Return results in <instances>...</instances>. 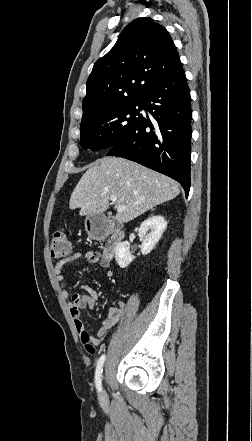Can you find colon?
<instances>
[{"label":"colon","instance_id":"5ec220e1","mask_svg":"<svg viewBox=\"0 0 252 441\" xmlns=\"http://www.w3.org/2000/svg\"><path fill=\"white\" fill-rule=\"evenodd\" d=\"M71 245L66 236L58 231L54 234L50 244V254L53 259H60L70 254ZM82 342L85 344L89 353H94V345L91 342V336L87 330H83L80 333Z\"/></svg>","mask_w":252,"mask_h":441}]
</instances>
